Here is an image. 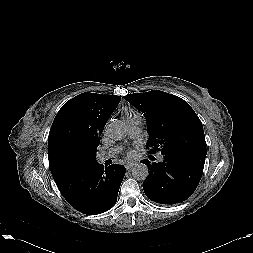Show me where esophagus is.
I'll list each match as a JSON object with an SVG mask.
<instances>
[{"label":"esophagus","instance_id":"1","mask_svg":"<svg viewBox=\"0 0 253 253\" xmlns=\"http://www.w3.org/2000/svg\"><path fill=\"white\" fill-rule=\"evenodd\" d=\"M133 165H134L133 162H126V163H125V168H126L127 170H129V169H131V168L133 167Z\"/></svg>","mask_w":253,"mask_h":253}]
</instances>
